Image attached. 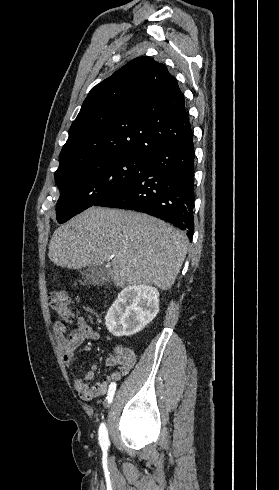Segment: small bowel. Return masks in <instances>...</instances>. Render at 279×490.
Segmentation results:
<instances>
[{"label":"small bowel","mask_w":279,"mask_h":490,"mask_svg":"<svg viewBox=\"0 0 279 490\" xmlns=\"http://www.w3.org/2000/svg\"><path fill=\"white\" fill-rule=\"evenodd\" d=\"M53 334L61 347L65 364L70 367L73 365L74 355L77 349L86 340H98V332L87 323L84 318H79L75 324H66L61 321H56L53 324ZM136 363V355L134 352L124 347L116 345L114 352L108 356L107 364L117 367L115 371L109 374L103 381L89 386L98 370L96 363L84 373L83 377H76L73 381V387L79 396L89 400L103 396L109 389L114 388L122 377L127 375Z\"/></svg>","instance_id":"small-bowel-1"}]
</instances>
